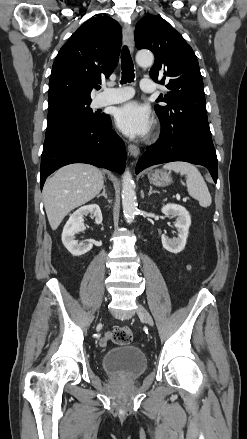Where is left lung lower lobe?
<instances>
[{
	"mask_svg": "<svg viewBox=\"0 0 247 439\" xmlns=\"http://www.w3.org/2000/svg\"><path fill=\"white\" fill-rule=\"evenodd\" d=\"M185 161L205 166L217 181V156L212 139L199 134L161 129L160 140L139 159L136 173L152 165Z\"/></svg>",
	"mask_w": 247,
	"mask_h": 439,
	"instance_id": "left-lung-lower-lobe-1",
	"label": "left lung lower lobe"
}]
</instances>
